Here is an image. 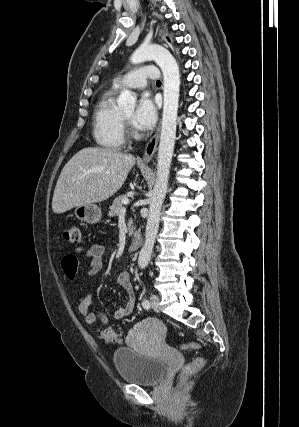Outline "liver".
Returning <instances> with one entry per match:
<instances>
[{"mask_svg": "<svg viewBox=\"0 0 299 427\" xmlns=\"http://www.w3.org/2000/svg\"><path fill=\"white\" fill-rule=\"evenodd\" d=\"M136 158L118 150L87 147L64 166L52 200L56 214L83 204L102 202L124 184Z\"/></svg>", "mask_w": 299, "mask_h": 427, "instance_id": "obj_1", "label": "liver"}]
</instances>
